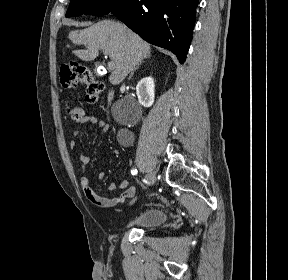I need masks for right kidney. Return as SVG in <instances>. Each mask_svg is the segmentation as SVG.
Masks as SVG:
<instances>
[{
    "label": "right kidney",
    "mask_w": 288,
    "mask_h": 280,
    "mask_svg": "<svg viewBox=\"0 0 288 280\" xmlns=\"http://www.w3.org/2000/svg\"><path fill=\"white\" fill-rule=\"evenodd\" d=\"M139 103L144 107H151L154 103V80L152 77L141 79L136 86Z\"/></svg>",
    "instance_id": "right-kidney-1"
}]
</instances>
